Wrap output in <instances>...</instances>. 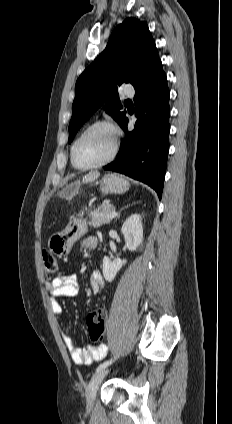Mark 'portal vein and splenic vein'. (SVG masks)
I'll use <instances>...</instances> for the list:
<instances>
[{
  "label": "portal vein and splenic vein",
  "mask_w": 232,
  "mask_h": 424,
  "mask_svg": "<svg viewBox=\"0 0 232 424\" xmlns=\"http://www.w3.org/2000/svg\"><path fill=\"white\" fill-rule=\"evenodd\" d=\"M117 215H118V213H117L116 211H113V212H111V213L108 215V218H109V219H113V218H115Z\"/></svg>",
  "instance_id": "18ae733b"
}]
</instances>
